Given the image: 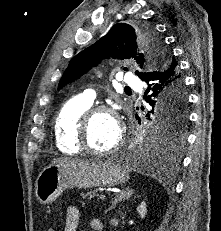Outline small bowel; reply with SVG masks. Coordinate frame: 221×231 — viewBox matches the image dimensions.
Masks as SVG:
<instances>
[{"label":"small bowel","mask_w":221,"mask_h":231,"mask_svg":"<svg viewBox=\"0 0 221 231\" xmlns=\"http://www.w3.org/2000/svg\"><path fill=\"white\" fill-rule=\"evenodd\" d=\"M80 220V211L77 206L71 205L66 211V219L63 231H76ZM94 231H103L104 224L99 219H93L90 223Z\"/></svg>","instance_id":"c3829d8e"}]
</instances>
